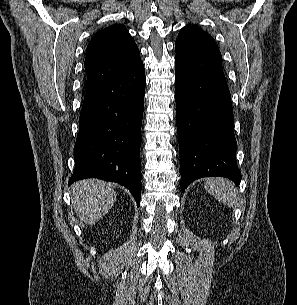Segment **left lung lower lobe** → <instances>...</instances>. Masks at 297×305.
Wrapping results in <instances>:
<instances>
[{
	"label": "left lung lower lobe",
	"instance_id": "obj_1",
	"mask_svg": "<svg viewBox=\"0 0 297 305\" xmlns=\"http://www.w3.org/2000/svg\"><path fill=\"white\" fill-rule=\"evenodd\" d=\"M175 83L181 190L202 177H226L238 185L233 109L223 71L189 73L176 64Z\"/></svg>",
	"mask_w": 297,
	"mask_h": 305
}]
</instances>
